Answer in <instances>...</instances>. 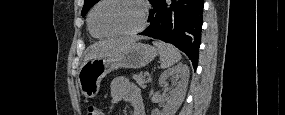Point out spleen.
I'll return each instance as SVG.
<instances>
[{
	"label": "spleen",
	"mask_w": 285,
	"mask_h": 115,
	"mask_svg": "<svg viewBox=\"0 0 285 115\" xmlns=\"http://www.w3.org/2000/svg\"><path fill=\"white\" fill-rule=\"evenodd\" d=\"M153 44L159 52L162 69L169 68L181 60L179 50L171 44L162 41H154Z\"/></svg>",
	"instance_id": "obj_1"
}]
</instances>
